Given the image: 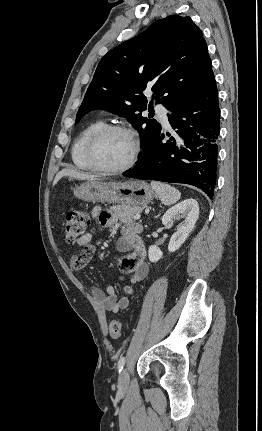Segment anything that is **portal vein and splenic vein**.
Segmentation results:
<instances>
[{"instance_id":"obj_1","label":"portal vein and splenic vein","mask_w":262,"mask_h":431,"mask_svg":"<svg viewBox=\"0 0 262 431\" xmlns=\"http://www.w3.org/2000/svg\"><path fill=\"white\" fill-rule=\"evenodd\" d=\"M141 218V215L140 214H136L135 216H134V220H138V219H140Z\"/></svg>"}]
</instances>
